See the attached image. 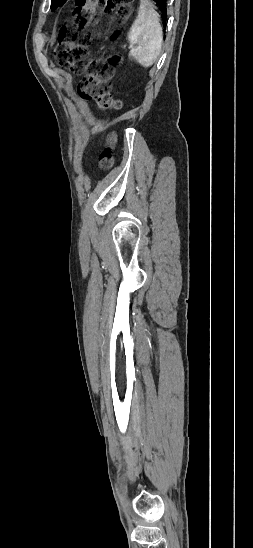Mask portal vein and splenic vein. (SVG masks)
Here are the masks:
<instances>
[{"label":"portal vein and splenic vein","instance_id":"18ae733b","mask_svg":"<svg viewBox=\"0 0 253 548\" xmlns=\"http://www.w3.org/2000/svg\"><path fill=\"white\" fill-rule=\"evenodd\" d=\"M128 48H129V49H130V48H133V45H130Z\"/></svg>","mask_w":253,"mask_h":548}]
</instances>
